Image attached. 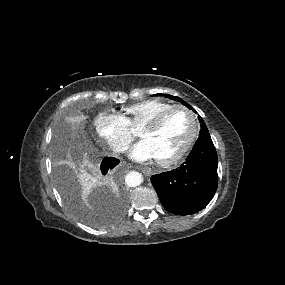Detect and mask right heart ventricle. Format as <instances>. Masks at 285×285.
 <instances>
[{
	"mask_svg": "<svg viewBox=\"0 0 285 285\" xmlns=\"http://www.w3.org/2000/svg\"><path fill=\"white\" fill-rule=\"evenodd\" d=\"M171 106V103L162 99H146L124 108L122 118L129 127L143 125Z\"/></svg>",
	"mask_w": 285,
	"mask_h": 285,
	"instance_id": "obj_1",
	"label": "right heart ventricle"
}]
</instances>
